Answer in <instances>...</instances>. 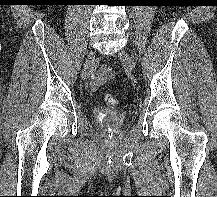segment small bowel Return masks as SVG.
<instances>
[{
  "label": "small bowel",
  "instance_id": "1",
  "mask_svg": "<svg viewBox=\"0 0 217 197\" xmlns=\"http://www.w3.org/2000/svg\"><path fill=\"white\" fill-rule=\"evenodd\" d=\"M112 76H113L112 72L108 67L106 66L102 67L99 72V76L95 79V81L91 85V90L96 91L102 85H104L107 80L111 79Z\"/></svg>",
  "mask_w": 217,
  "mask_h": 197
}]
</instances>
